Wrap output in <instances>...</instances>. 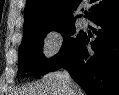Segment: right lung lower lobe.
Here are the masks:
<instances>
[{
  "instance_id": "98d812e1",
  "label": "right lung lower lobe",
  "mask_w": 119,
  "mask_h": 95,
  "mask_svg": "<svg viewBox=\"0 0 119 95\" xmlns=\"http://www.w3.org/2000/svg\"><path fill=\"white\" fill-rule=\"evenodd\" d=\"M96 39L82 34L50 72L64 68L88 95H119V10L93 21Z\"/></svg>"
}]
</instances>
